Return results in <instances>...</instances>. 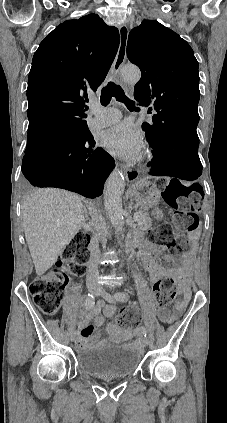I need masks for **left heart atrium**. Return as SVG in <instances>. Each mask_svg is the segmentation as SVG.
<instances>
[{
	"mask_svg": "<svg viewBox=\"0 0 227 423\" xmlns=\"http://www.w3.org/2000/svg\"><path fill=\"white\" fill-rule=\"evenodd\" d=\"M101 143L108 152L128 161L139 160L145 148L142 132L126 124L104 131Z\"/></svg>",
	"mask_w": 227,
	"mask_h": 423,
	"instance_id": "39dd6f15",
	"label": "left heart atrium"
}]
</instances>
